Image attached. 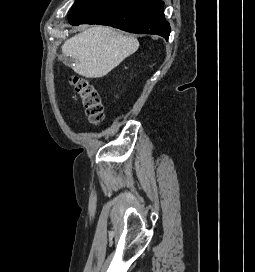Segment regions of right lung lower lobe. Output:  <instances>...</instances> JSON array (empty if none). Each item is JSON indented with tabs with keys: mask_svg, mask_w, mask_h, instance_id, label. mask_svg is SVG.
I'll return each mask as SVG.
<instances>
[{
	"mask_svg": "<svg viewBox=\"0 0 255 272\" xmlns=\"http://www.w3.org/2000/svg\"><path fill=\"white\" fill-rule=\"evenodd\" d=\"M161 0H90L68 22L100 24L137 34H156L168 40L170 25Z\"/></svg>",
	"mask_w": 255,
	"mask_h": 272,
	"instance_id": "98d812e1",
	"label": "right lung lower lobe"
}]
</instances>
